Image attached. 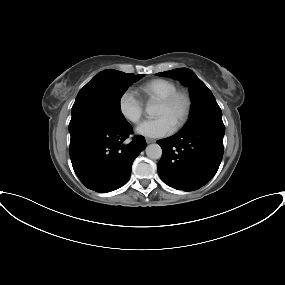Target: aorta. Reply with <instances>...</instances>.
Returning <instances> with one entry per match:
<instances>
[{"instance_id": "obj_1", "label": "aorta", "mask_w": 285, "mask_h": 285, "mask_svg": "<svg viewBox=\"0 0 285 285\" xmlns=\"http://www.w3.org/2000/svg\"><path fill=\"white\" fill-rule=\"evenodd\" d=\"M146 112L148 115L154 116L156 114V106L148 103ZM146 155L151 159H160L162 156V148L158 144H150L146 147Z\"/></svg>"}]
</instances>
